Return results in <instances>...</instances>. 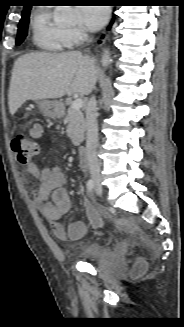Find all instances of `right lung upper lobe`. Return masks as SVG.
I'll return each instance as SVG.
<instances>
[{"instance_id":"obj_1","label":"right lung upper lobe","mask_w":184,"mask_h":327,"mask_svg":"<svg viewBox=\"0 0 184 327\" xmlns=\"http://www.w3.org/2000/svg\"><path fill=\"white\" fill-rule=\"evenodd\" d=\"M30 10H31V6L26 5V6H24V9H23V12L22 13L27 12V11H30Z\"/></svg>"}]
</instances>
